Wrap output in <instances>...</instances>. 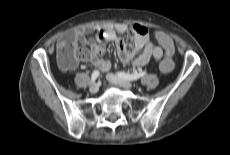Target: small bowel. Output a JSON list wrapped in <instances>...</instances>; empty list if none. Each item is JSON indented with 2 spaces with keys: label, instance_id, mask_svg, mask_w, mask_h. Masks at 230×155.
<instances>
[{
  "label": "small bowel",
  "instance_id": "c3829d8e",
  "mask_svg": "<svg viewBox=\"0 0 230 155\" xmlns=\"http://www.w3.org/2000/svg\"><path fill=\"white\" fill-rule=\"evenodd\" d=\"M126 31L127 26L124 24L80 27L61 37L58 44L88 45L91 52L90 64L103 72L111 67L110 60L101 56L104 51V45L109 42L115 44L122 62L131 61L138 67L148 64L151 58L162 59L164 55L174 53V44L170 36L163 31H155L153 39L158 43V45H155L150 40L148 29L140 24L132 26L134 47L129 50L121 37ZM91 34L95 35V40L87 39V36Z\"/></svg>",
  "mask_w": 230,
  "mask_h": 155
}]
</instances>
